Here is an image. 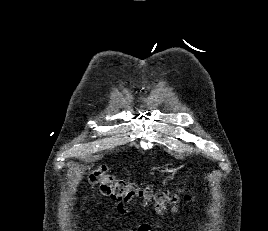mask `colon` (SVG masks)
I'll use <instances>...</instances> for the list:
<instances>
[{
	"mask_svg": "<svg viewBox=\"0 0 268 231\" xmlns=\"http://www.w3.org/2000/svg\"><path fill=\"white\" fill-rule=\"evenodd\" d=\"M90 179L97 184L101 191L115 201L125 206L129 203L143 201L153 202L159 212L172 210L176 212L180 199L175 194H167L161 191H153L149 187H142L133 182L119 180L109 174L105 166H94L90 169ZM187 201H191L190 196H186Z\"/></svg>",
	"mask_w": 268,
	"mask_h": 231,
	"instance_id": "colon-1",
	"label": "colon"
}]
</instances>
